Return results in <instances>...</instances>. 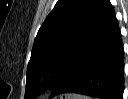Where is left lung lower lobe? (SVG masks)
I'll return each instance as SVG.
<instances>
[{"label": "left lung lower lobe", "mask_w": 128, "mask_h": 99, "mask_svg": "<svg viewBox=\"0 0 128 99\" xmlns=\"http://www.w3.org/2000/svg\"><path fill=\"white\" fill-rule=\"evenodd\" d=\"M124 50L111 4L84 45L64 66L50 97L78 93L101 99H122Z\"/></svg>", "instance_id": "0a47b994"}]
</instances>
